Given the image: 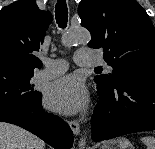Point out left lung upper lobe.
Segmentation results:
<instances>
[{
    "instance_id": "obj_1",
    "label": "left lung upper lobe",
    "mask_w": 155,
    "mask_h": 149,
    "mask_svg": "<svg viewBox=\"0 0 155 149\" xmlns=\"http://www.w3.org/2000/svg\"><path fill=\"white\" fill-rule=\"evenodd\" d=\"M81 25L91 33L88 46L103 50L113 68L95 76L97 83L114 85L138 71H155V29L136 0H82Z\"/></svg>"
}]
</instances>
